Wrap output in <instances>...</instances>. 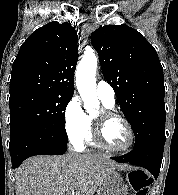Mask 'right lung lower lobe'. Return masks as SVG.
Masks as SVG:
<instances>
[{
    "label": "right lung lower lobe",
    "instance_id": "right-lung-lower-lobe-1",
    "mask_svg": "<svg viewBox=\"0 0 178 195\" xmlns=\"http://www.w3.org/2000/svg\"><path fill=\"white\" fill-rule=\"evenodd\" d=\"M67 150V138L53 128L15 130L10 134L9 151L12 167L17 168L34 155H61Z\"/></svg>",
    "mask_w": 178,
    "mask_h": 195
}]
</instances>
